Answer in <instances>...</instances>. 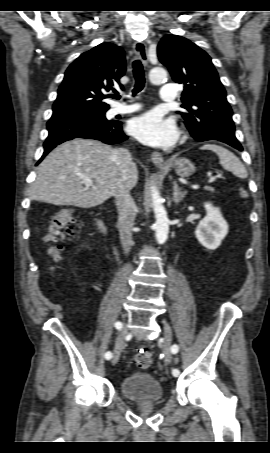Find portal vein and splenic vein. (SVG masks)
I'll use <instances>...</instances> for the list:
<instances>
[{"label":"portal vein and splenic vein","instance_id":"18ae733b","mask_svg":"<svg viewBox=\"0 0 270 453\" xmlns=\"http://www.w3.org/2000/svg\"><path fill=\"white\" fill-rule=\"evenodd\" d=\"M79 178H81L84 182V184L86 186H91L93 185V180L91 178H88L82 174H78ZM218 176H213V175H209V180H208V183H212L215 181V179L217 178Z\"/></svg>","mask_w":270,"mask_h":453}]
</instances>
